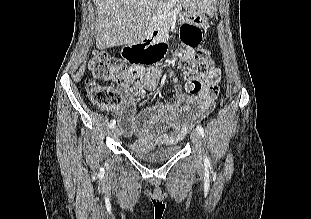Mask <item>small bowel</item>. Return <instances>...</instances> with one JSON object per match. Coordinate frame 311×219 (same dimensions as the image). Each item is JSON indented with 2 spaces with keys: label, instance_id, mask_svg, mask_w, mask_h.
Listing matches in <instances>:
<instances>
[{
  "label": "small bowel",
  "instance_id": "c3829d8e",
  "mask_svg": "<svg viewBox=\"0 0 311 219\" xmlns=\"http://www.w3.org/2000/svg\"><path fill=\"white\" fill-rule=\"evenodd\" d=\"M183 44V60H191L197 45L184 41ZM129 72L130 79L149 91H154L163 83V73L157 65L148 67L135 65ZM205 82L204 90L194 94L182 92L178 80H175L174 100L147 107L136 118L135 100L126 87H121V102L108 109L123 124L125 136L149 144L170 145L179 142L188 128L213 107L220 90V71L212 70L205 76Z\"/></svg>",
  "mask_w": 311,
  "mask_h": 219
}]
</instances>
